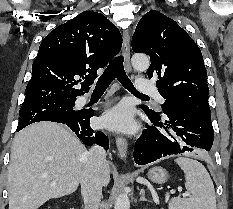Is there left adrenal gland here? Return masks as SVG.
<instances>
[{
  "label": "left adrenal gland",
  "instance_id": "obj_1",
  "mask_svg": "<svg viewBox=\"0 0 233 209\" xmlns=\"http://www.w3.org/2000/svg\"><path fill=\"white\" fill-rule=\"evenodd\" d=\"M140 195H141V197H140V199H139L140 201L150 202L149 200H147V199L145 198V190H144V189L141 190Z\"/></svg>",
  "mask_w": 233,
  "mask_h": 209
}]
</instances>
